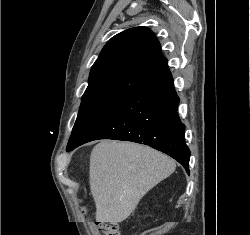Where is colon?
Instances as JSON below:
<instances>
[{
	"label": "colon",
	"instance_id": "obj_1",
	"mask_svg": "<svg viewBox=\"0 0 250 235\" xmlns=\"http://www.w3.org/2000/svg\"><path fill=\"white\" fill-rule=\"evenodd\" d=\"M97 227L103 235H121L117 222L101 221L97 222Z\"/></svg>",
	"mask_w": 250,
	"mask_h": 235
}]
</instances>
